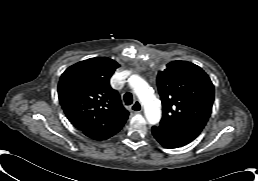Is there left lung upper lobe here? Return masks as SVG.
Returning a JSON list of instances; mask_svg holds the SVG:
<instances>
[{
    "label": "left lung upper lobe",
    "mask_w": 258,
    "mask_h": 181,
    "mask_svg": "<svg viewBox=\"0 0 258 181\" xmlns=\"http://www.w3.org/2000/svg\"><path fill=\"white\" fill-rule=\"evenodd\" d=\"M163 105L160 125L198 136L212 111L214 86L197 65L173 61L158 73Z\"/></svg>",
    "instance_id": "obj_1"
}]
</instances>
